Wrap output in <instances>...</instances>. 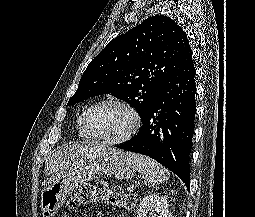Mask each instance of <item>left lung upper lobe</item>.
<instances>
[{"instance_id":"obj_1","label":"left lung upper lobe","mask_w":255,"mask_h":217,"mask_svg":"<svg viewBox=\"0 0 255 217\" xmlns=\"http://www.w3.org/2000/svg\"><path fill=\"white\" fill-rule=\"evenodd\" d=\"M191 52L183 29L171 18L149 17L113 39L89 63L67 105L112 94L143 120L160 85Z\"/></svg>"}]
</instances>
